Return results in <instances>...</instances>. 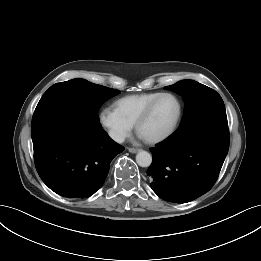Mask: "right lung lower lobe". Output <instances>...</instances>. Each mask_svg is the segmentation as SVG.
Returning a JSON list of instances; mask_svg holds the SVG:
<instances>
[{
	"instance_id": "obj_1",
	"label": "right lung lower lobe",
	"mask_w": 261,
	"mask_h": 261,
	"mask_svg": "<svg viewBox=\"0 0 261 261\" xmlns=\"http://www.w3.org/2000/svg\"><path fill=\"white\" fill-rule=\"evenodd\" d=\"M34 161L43 182L63 197H90L104 183L112 159L124 150L99 121L69 113L32 123Z\"/></svg>"
}]
</instances>
